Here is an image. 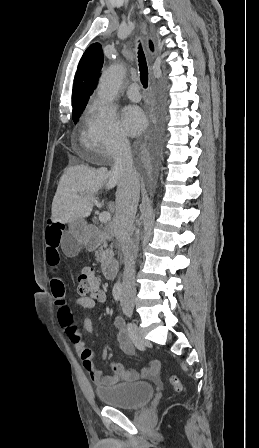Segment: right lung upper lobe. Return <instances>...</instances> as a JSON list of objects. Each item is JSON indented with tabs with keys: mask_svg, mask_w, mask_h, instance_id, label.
<instances>
[{
	"mask_svg": "<svg viewBox=\"0 0 259 448\" xmlns=\"http://www.w3.org/2000/svg\"><path fill=\"white\" fill-rule=\"evenodd\" d=\"M150 48L153 44L150 41ZM103 66V52L99 43L91 44L84 52L74 79L72 103L73 110L85 108L92 95Z\"/></svg>",
	"mask_w": 259,
	"mask_h": 448,
	"instance_id": "cb5924a9",
	"label": "right lung upper lobe"
}]
</instances>
